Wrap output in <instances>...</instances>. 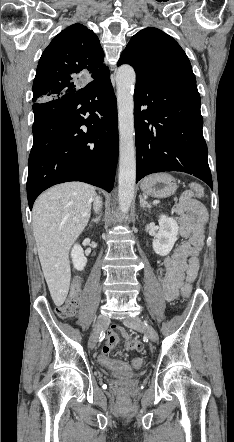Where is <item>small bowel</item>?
<instances>
[{
	"instance_id": "c3829d8e",
	"label": "small bowel",
	"mask_w": 234,
	"mask_h": 442,
	"mask_svg": "<svg viewBox=\"0 0 234 442\" xmlns=\"http://www.w3.org/2000/svg\"><path fill=\"white\" fill-rule=\"evenodd\" d=\"M176 214L180 221V231L188 242L178 247L173 254L167 256L163 262L164 274L160 281L167 301L176 298L179 288L184 282H193L199 270L198 252L203 245V232L208 219L206 208L193 198L191 192H185L179 199ZM121 332L112 326L102 350L112 349L119 342ZM125 343L128 350H137L139 355L145 351V346L135 338L136 342L126 336ZM101 350V351H102ZM133 365V364H132Z\"/></svg>"
}]
</instances>
